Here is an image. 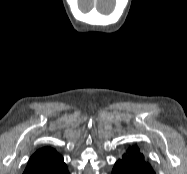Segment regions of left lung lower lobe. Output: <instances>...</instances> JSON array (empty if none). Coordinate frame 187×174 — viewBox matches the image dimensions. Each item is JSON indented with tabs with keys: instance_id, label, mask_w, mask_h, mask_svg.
Returning a JSON list of instances; mask_svg holds the SVG:
<instances>
[{
	"instance_id": "1",
	"label": "left lung lower lobe",
	"mask_w": 187,
	"mask_h": 174,
	"mask_svg": "<svg viewBox=\"0 0 187 174\" xmlns=\"http://www.w3.org/2000/svg\"><path fill=\"white\" fill-rule=\"evenodd\" d=\"M112 174H155L153 169H129L123 166L120 162H116Z\"/></svg>"
}]
</instances>
